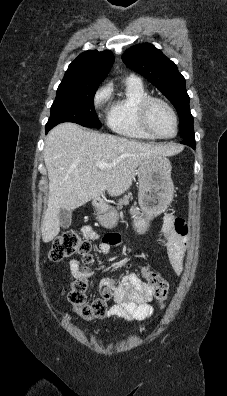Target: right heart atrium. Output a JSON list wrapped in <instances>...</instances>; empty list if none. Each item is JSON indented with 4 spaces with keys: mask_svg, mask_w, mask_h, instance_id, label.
<instances>
[{
    "mask_svg": "<svg viewBox=\"0 0 227 396\" xmlns=\"http://www.w3.org/2000/svg\"><path fill=\"white\" fill-rule=\"evenodd\" d=\"M110 97V90L108 87H101L94 96V104L96 107L102 106Z\"/></svg>",
    "mask_w": 227,
    "mask_h": 396,
    "instance_id": "d8ad5b80",
    "label": "right heart atrium"
}]
</instances>
